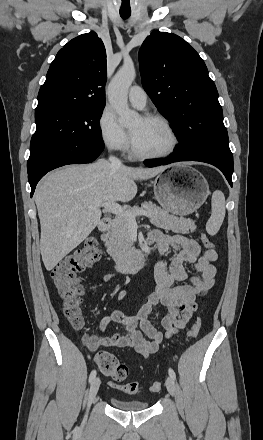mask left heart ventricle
<instances>
[{"label": "left heart ventricle", "instance_id": "1", "mask_svg": "<svg viewBox=\"0 0 263 440\" xmlns=\"http://www.w3.org/2000/svg\"><path fill=\"white\" fill-rule=\"evenodd\" d=\"M136 147L145 153L162 152L169 148L171 135L159 122L138 118L129 126Z\"/></svg>", "mask_w": 263, "mask_h": 440}]
</instances>
